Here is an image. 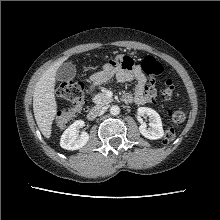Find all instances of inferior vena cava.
I'll list each match as a JSON object with an SVG mask.
<instances>
[{"label":"inferior vena cava","instance_id":"inferior-vena-cava-1","mask_svg":"<svg viewBox=\"0 0 220 220\" xmlns=\"http://www.w3.org/2000/svg\"><path fill=\"white\" fill-rule=\"evenodd\" d=\"M105 108H93L91 109V114H94V115H102L104 112H105Z\"/></svg>","mask_w":220,"mask_h":220}]
</instances>
